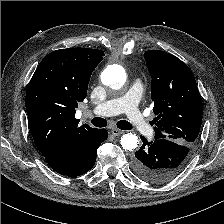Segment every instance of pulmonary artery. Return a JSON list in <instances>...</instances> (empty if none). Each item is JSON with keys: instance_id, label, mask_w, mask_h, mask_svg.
<instances>
[{"instance_id": "obj_1", "label": "pulmonary artery", "mask_w": 224, "mask_h": 224, "mask_svg": "<svg viewBox=\"0 0 224 224\" xmlns=\"http://www.w3.org/2000/svg\"><path fill=\"white\" fill-rule=\"evenodd\" d=\"M142 93L143 84L140 79H135L125 95L110 99L96 106L93 112L100 116H113L125 113L130 124L138 133L148 135L152 132V127L138 109Z\"/></svg>"}]
</instances>
